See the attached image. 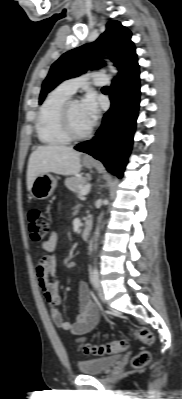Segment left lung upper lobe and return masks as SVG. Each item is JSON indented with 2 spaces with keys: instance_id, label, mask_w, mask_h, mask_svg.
I'll use <instances>...</instances> for the list:
<instances>
[{
  "instance_id": "obj_1",
  "label": "left lung upper lobe",
  "mask_w": 182,
  "mask_h": 399,
  "mask_svg": "<svg viewBox=\"0 0 182 399\" xmlns=\"http://www.w3.org/2000/svg\"><path fill=\"white\" fill-rule=\"evenodd\" d=\"M99 55L109 56L114 61L119 69L118 77L138 65L131 32L120 22L111 20L107 23L106 31L95 42L64 53L52 64L43 82L39 103L62 81L103 66Z\"/></svg>"
}]
</instances>
